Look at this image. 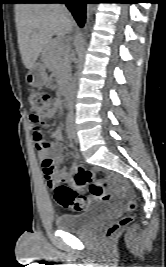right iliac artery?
Instances as JSON below:
<instances>
[{
  "mask_svg": "<svg viewBox=\"0 0 166 267\" xmlns=\"http://www.w3.org/2000/svg\"><path fill=\"white\" fill-rule=\"evenodd\" d=\"M66 133L68 135V138H70V140L73 138V131H72V121L70 116H67L66 118Z\"/></svg>",
  "mask_w": 166,
  "mask_h": 267,
  "instance_id": "obj_1",
  "label": "right iliac artery"
}]
</instances>
